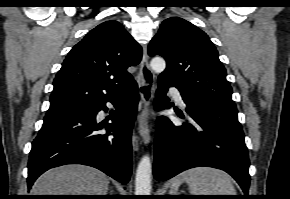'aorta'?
Returning a JSON list of instances; mask_svg holds the SVG:
<instances>
[{
	"label": "aorta",
	"instance_id": "1",
	"mask_svg": "<svg viewBox=\"0 0 290 199\" xmlns=\"http://www.w3.org/2000/svg\"><path fill=\"white\" fill-rule=\"evenodd\" d=\"M150 66L153 71L160 73L166 68V62L161 57H154ZM152 163L150 157L145 155L141 158L135 178V195H151Z\"/></svg>",
	"mask_w": 290,
	"mask_h": 199
}]
</instances>
